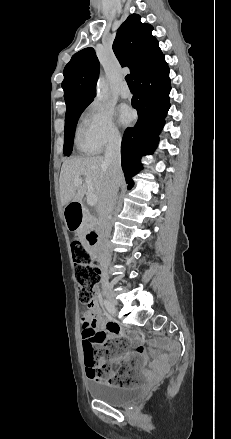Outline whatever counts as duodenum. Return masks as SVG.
Wrapping results in <instances>:
<instances>
[{
    "label": "duodenum",
    "mask_w": 231,
    "mask_h": 439,
    "mask_svg": "<svg viewBox=\"0 0 231 439\" xmlns=\"http://www.w3.org/2000/svg\"><path fill=\"white\" fill-rule=\"evenodd\" d=\"M82 202L77 201L75 203H70L66 210L68 212L67 217L71 218H78L81 212ZM85 243L88 247H90L92 250H95L97 244H98V233L95 230L89 231L85 235Z\"/></svg>",
    "instance_id": "1"
}]
</instances>
